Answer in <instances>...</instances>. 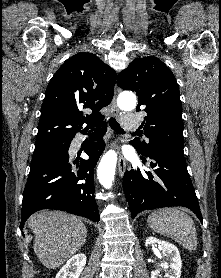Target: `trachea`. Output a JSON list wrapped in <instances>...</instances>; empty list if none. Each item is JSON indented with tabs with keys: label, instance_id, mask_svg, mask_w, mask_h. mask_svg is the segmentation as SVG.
<instances>
[{
	"label": "trachea",
	"instance_id": "obj_1",
	"mask_svg": "<svg viewBox=\"0 0 221 278\" xmlns=\"http://www.w3.org/2000/svg\"><path fill=\"white\" fill-rule=\"evenodd\" d=\"M110 127L117 133H124V130L120 127L119 123L114 118L109 119ZM135 133H138L137 131Z\"/></svg>",
	"mask_w": 221,
	"mask_h": 278
}]
</instances>
